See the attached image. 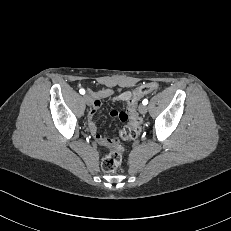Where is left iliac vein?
Instances as JSON below:
<instances>
[{
    "instance_id": "left-iliac-vein-1",
    "label": "left iliac vein",
    "mask_w": 231,
    "mask_h": 231,
    "mask_svg": "<svg viewBox=\"0 0 231 231\" xmlns=\"http://www.w3.org/2000/svg\"><path fill=\"white\" fill-rule=\"evenodd\" d=\"M147 110H148V108H147V106L146 105H140V107H139V111H140V113L141 114H146L147 113Z\"/></svg>"
}]
</instances>
